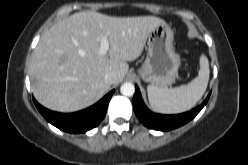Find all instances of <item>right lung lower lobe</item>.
<instances>
[{"label": "right lung lower lobe", "mask_w": 248, "mask_h": 165, "mask_svg": "<svg viewBox=\"0 0 248 165\" xmlns=\"http://www.w3.org/2000/svg\"><path fill=\"white\" fill-rule=\"evenodd\" d=\"M113 92L114 90L109 92L95 105L70 114L50 111L41 106L34 98L33 100L39 112L52 125L69 133H84L96 127L103 120Z\"/></svg>", "instance_id": "obj_1"}]
</instances>
